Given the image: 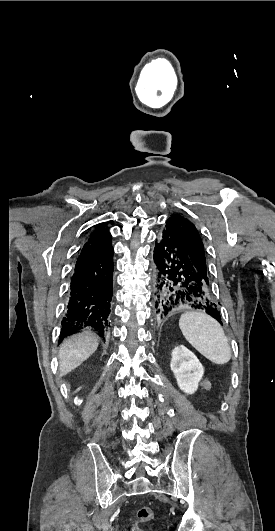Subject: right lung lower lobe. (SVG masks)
Here are the masks:
<instances>
[{"instance_id": "right-lung-lower-lobe-1", "label": "right lung lower lobe", "mask_w": 275, "mask_h": 531, "mask_svg": "<svg viewBox=\"0 0 275 531\" xmlns=\"http://www.w3.org/2000/svg\"><path fill=\"white\" fill-rule=\"evenodd\" d=\"M111 237L105 225H101L80 251L71 278L60 341L87 327L103 336L110 326L108 317L114 270Z\"/></svg>"}]
</instances>
